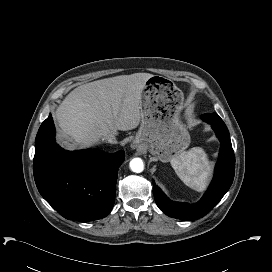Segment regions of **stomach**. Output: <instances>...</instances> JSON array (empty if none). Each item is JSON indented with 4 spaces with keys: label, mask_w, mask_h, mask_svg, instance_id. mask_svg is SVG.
Masks as SVG:
<instances>
[{
    "label": "stomach",
    "mask_w": 272,
    "mask_h": 272,
    "mask_svg": "<svg viewBox=\"0 0 272 272\" xmlns=\"http://www.w3.org/2000/svg\"><path fill=\"white\" fill-rule=\"evenodd\" d=\"M183 93L169 79L153 75L142 90L141 126L135 143L162 162L170 161L190 144V135L181 121Z\"/></svg>",
    "instance_id": "0dacf381"
}]
</instances>
